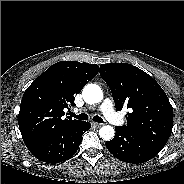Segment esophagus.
Instances as JSON below:
<instances>
[{"instance_id":"1","label":"esophagus","mask_w":184,"mask_h":184,"mask_svg":"<svg viewBox=\"0 0 184 184\" xmlns=\"http://www.w3.org/2000/svg\"><path fill=\"white\" fill-rule=\"evenodd\" d=\"M92 125L95 126V127H97V128H99V127H101L103 124L93 122Z\"/></svg>"}]
</instances>
